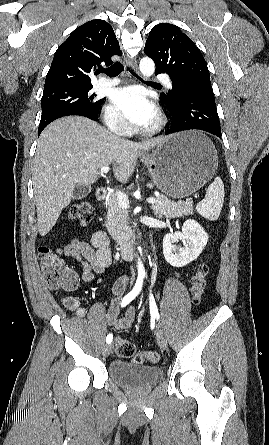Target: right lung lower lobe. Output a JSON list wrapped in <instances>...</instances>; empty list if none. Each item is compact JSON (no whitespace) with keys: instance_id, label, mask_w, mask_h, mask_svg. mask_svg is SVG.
Returning <instances> with one entry per match:
<instances>
[{"instance_id":"98d812e1","label":"right lung lower lobe","mask_w":269,"mask_h":445,"mask_svg":"<svg viewBox=\"0 0 269 445\" xmlns=\"http://www.w3.org/2000/svg\"><path fill=\"white\" fill-rule=\"evenodd\" d=\"M88 118H89V117H88ZM90 119H92V120H95V121H96V120L98 119V117H96V118H90ZM40 133H41V132H40Z\"/></svg>"}]
</instances>
